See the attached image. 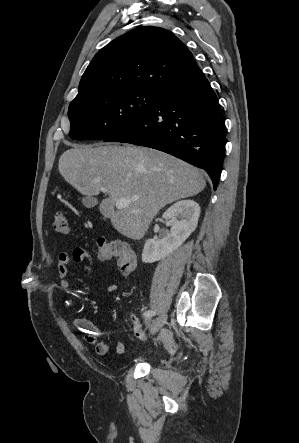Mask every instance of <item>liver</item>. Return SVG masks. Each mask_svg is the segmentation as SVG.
Returning a JSON list of instances; mask_svg holds the SVG:
<instances>
[{
  "instance_id": "obj_1",
  "label": "liver",
  "mask_w": 299,
  "mask_h": 443,
  "mask_svg": "<svg viewBox=\"0 0 299 443\" xmlns=\"http://www.w3.org/2000/svg\"><path fill=\"white\" fill-rule=\"evenodd\" d=\"M58 169L83 195L91 197L107 189L100 213L119 233L135 240L144 236L161 208L206 186L198 168L169 154L129 145H75L61 155ZM120 198L132 201L115 210Z\"/></svg>"
}]
</instances>
